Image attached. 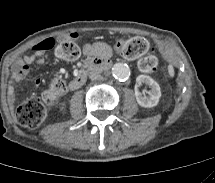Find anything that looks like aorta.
<instances>
[{"label": "aorta", "instance_id": "aorta-1", "mask_svg": "<svg viewBox=\"0 0 215 183\" xmlns=\"http://www.w3.org/2000/svg\"><path fill=\"white\" fill-rule=\"evenodd\" d=\"M113 76L119 81H125L130 76V68L127 64L124 63H116L112 67Z\"/></svg>", "mask_w": 215, "mask_h": 183}]
</instances>
